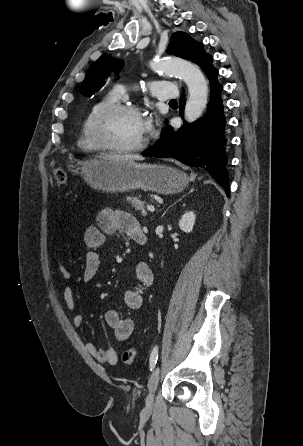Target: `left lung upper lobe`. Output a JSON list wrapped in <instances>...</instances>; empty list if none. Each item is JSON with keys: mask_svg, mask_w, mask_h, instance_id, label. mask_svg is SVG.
<instances>
[{"mask_svg": "<svg viewBox=\"0 0 303 446\" xmlns=\"http://www.w3.org/2000/svg\"><path fill=\"white\" fill-rule=\"evenodd\" d=\"M169 54H173L184 59H188L200 67L211 56L205 53L203 45L193 40L184 32H176L170 39V44L167 49ZM123 63L112 58L110 55H102L95 63L88 69L85 79L80 87V92L85 96L93 95L104 84L109 76L110 70H115L116 75L122 69Z\"/></svg>", "mask_w": 303, "mask_h": 446, "instance_id": "obj_1", "label": "left lung upper lobe"}]
</instances>
